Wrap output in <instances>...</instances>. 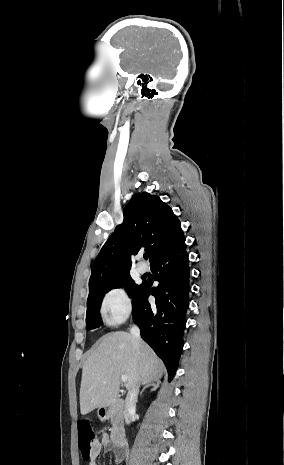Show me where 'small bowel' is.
I'll return each instance as SVG.
<instances>
[{
  "label": "small bowel",
  "mask_w": 284,
  "mask_h": 465,
  "mask_svg": "<svg viewBox=\"0 0 284 465\" xmlns=\"http://www.w3.org/2000/svg\"><path fill=\"white\" fill-rule=\"evenodd\" d=\"M104 449L105 451L111 450L110 448V440L107 433L101 434L99 437L96 438L93 447H92V455H91V462L90 465H96L95 459L100 454V452ZM116 460L119 458L118 455H115Z\"/></svg>",
  "instance_id": "small-bowel-1"
}]
</instances>
